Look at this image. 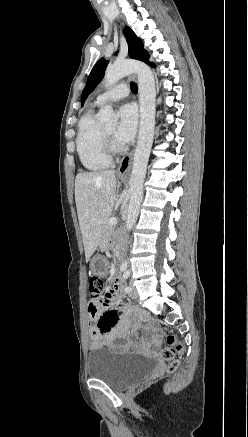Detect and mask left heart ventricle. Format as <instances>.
I'll return each mask as SVG.
<instances>
[{"label": "left heart ventricle", "instance_id": "b2bd125f", "mask_svg": "<svg viewBox=\"0 0 248 437\" xmlns=\"http://www.w3.org/2000/svg\"><path fill=\"white\" fill-rule=\"evenodd\" d=\"M104 131H105V132H106L110 137L113 138L114 133H115V127L112 126V127L106 128Z\"/></svg>", "mask_w": 248, "mask_h": 437}]
</instances>
